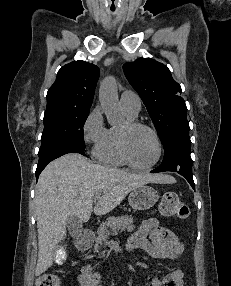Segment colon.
Returning a JSON list of instances; mask_svg holds the SVG:
<instances>
[{
    "mask_svg": "<svg viewBox=\"0 0 231 286\" xmlns=\"http://www.w3.org/2000/svg\"><path fill=\"white\" fill-rule=\"evenodd\" d=\"M160 211L166 217L186 218L188 208L174 192H166L161 199ZM36 286H62L59 277L53 273L41 275Z\"/></svg>",
    "mask_w": 231,
    "mask_h": 286,
    "instance_id": "5ec220e1",
    "label": "colon"
}]
</instances>
